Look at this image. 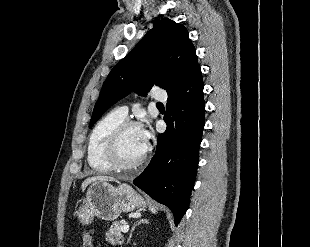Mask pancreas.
<instances>
[{"instance_id": "obj_1", "label": "pancreas", "mask_w": 310, "mask_h": 247, "mask_svg": "<svg viewBox=\"0 0 310 247\" xmlns=\"http://www.w3.org/2000/svg\"><path fill=\"white\" fill-rule=\"evenodd\" d=\"M125 224L122 222H114L110 229L106 232V241L112 245H121L124 241L122 227Z\"/></svg>"}]
</instances>
